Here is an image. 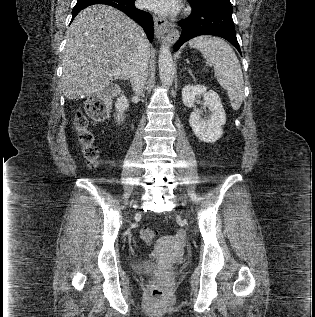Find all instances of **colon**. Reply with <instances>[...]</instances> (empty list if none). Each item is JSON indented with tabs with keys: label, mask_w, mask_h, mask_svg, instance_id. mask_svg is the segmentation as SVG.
I'll use <instances>...</instances> for the list:
<instances>
[{
	"label": "colon",
	"mask_w": 315,
	"mask_h": 317,
	"mask_svg": "<svg viewBox=\"0 0 315 317\" xmlns=\"http://www.w3.org/2000/svg\"><path fill=\"white\" fill-rule=\"evenodd\" d=\"M109 105L105 96L97 95L92 97L86 106L87 114L96 120H102L108 115ZM74 126L77 132L79 144L82 153L91 166H94L98 159V149L94 144V137L89 130L86 118L77 113L74 118ZM140 237L146 244H151L155 238V232L148 228L142 227L140 229ZM165 290L162 285L155 284L151 289V296L153 299L161 300L164 298Z\"/></svg>",
	"instance_id": "colon-1"
}]
</instances>
